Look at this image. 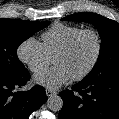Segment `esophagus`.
Returning <instances> with one entry per match:
<instances>
[{"instance_id":"34e87169","label":"esophagus","mask_w":119,"mask_h":119,"mask_svg":"<svg viewBox=\"0 0 119 119\" xmlns=\"http://www.w3.org/2000/svg\"><path fill=\"white\" fill-rule=\"evenodd\" d=\"M56 94H57L56 91L51 90V89H46V95H47L48 97H51V96L56 95Z\"/></svg>"}]
</instances>
